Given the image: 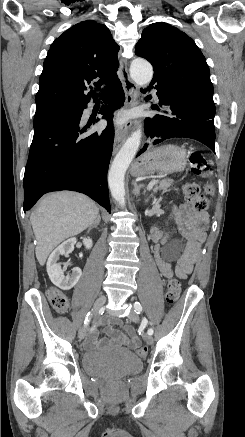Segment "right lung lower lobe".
Wrapping results in <instances>:
<instances>
[{"label": "right lung lower lobe", "instance_id": "obj_1", "mask_svg": "<svg viewBox=\"0 0 245 437\" xmlns=\"http://www.w3.org/2000/svg\"><path fill=\"white\" fill-rule=\"evenodd\" d=\"M124 101L120 81L106 90L99 113L108 124L101 133L84 135L89 125L83 127L81 116L88 102L34 127L24 174V211L47 192L72 190L88 195L111 212L107 171L114 140L112 118Z\"/></svg>", "mask_w": 245, "mask_h": 437}]
</instances>
